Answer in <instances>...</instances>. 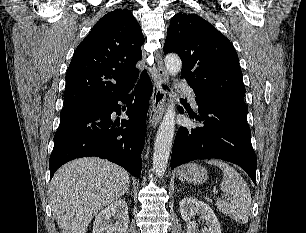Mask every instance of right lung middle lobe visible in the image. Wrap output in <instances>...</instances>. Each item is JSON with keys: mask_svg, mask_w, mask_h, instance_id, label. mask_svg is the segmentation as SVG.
Here are the masks:
<instances>
[{"mask_svg": "<svg viewBox=\"0 0 306 233\" xmlns=\"http://www.w3.org/2000/svg\"><path fill=\"white\" fill-rule=\"evenodd\" d=\"M101 104H92V103H84V104H76V105H71V106H64L61 110L60 113V117L78 112V111H82L84 109L90 108V107H94V106H98Z\"/></svg>", "mask_w": 306, "mask_h": 233, "instance_id": "1", "label": "right lung middle lobe"}]
</instances>
